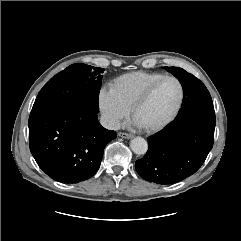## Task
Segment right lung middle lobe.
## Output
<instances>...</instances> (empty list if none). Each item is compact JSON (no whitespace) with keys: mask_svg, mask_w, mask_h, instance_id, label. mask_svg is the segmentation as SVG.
Instances as JSON below:
<instances>
[{"mask_svg":"<svg viewBox=\"0 0 241 241\" xmlns=\"http://www.w3.org/2000/svg\"><path fill=\"white\" fill-rule=\"evenodd\" d=\"M103 71V68L82 63L70 65L44 85L38 93L32 111L77 105L98 113V97Z\"/></svg>","mask_w":241,"mask_h":241,"instance_id":"dd1d6c3e","label":"right lung middle lobe"}]
</instances>
